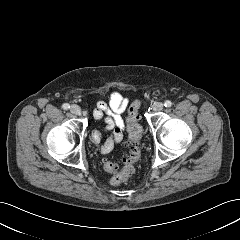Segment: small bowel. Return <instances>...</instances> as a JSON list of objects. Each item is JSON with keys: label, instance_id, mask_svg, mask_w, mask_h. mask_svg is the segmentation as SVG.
<instances>
[{"label": "small bowel", "instance_id": "1", "mask_svg": "<svg viewBox=\"0 0 240 240\" xmlns=\"http://www.w3.org/2000/svg\"><path fill=\"white\" fill-rule=\"evenodd\" d=\"M128 103V99L118 91H113L110 94L108 102H97L93 116L96 120L104 122V131L110 132V136L104 141L103 130H95L91 134L92 141L99 144L101 153H110L114 146L123 140L125 123L122 114Z\"/></svg>", "mask_w": 240, "mask_h": 240}]
</instances>
